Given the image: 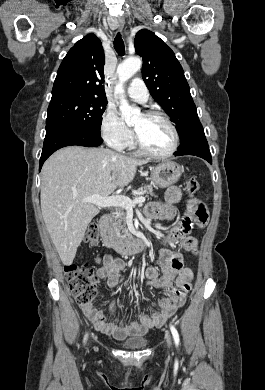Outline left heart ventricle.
<instances>
[{"mask_svg": "<svg viewBox=\"0 0 265 390\" xmlns=\"http://www.w3.org/2000/svg\"><path fill=\"white\" fill-rule=\"evenodd\" d=\"M133 129L145 146L155 153H164L172 145L171 130L159 118L139 115L133 123Z\"/></svg>", "mask_w": 265, "mask_h": 390, "instance_id": "left-heart-ventricle-1", "label": "left heart ventricle"}]
</instances>
